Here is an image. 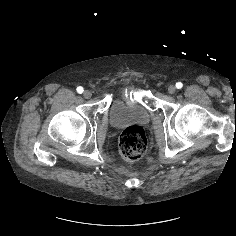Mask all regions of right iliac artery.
Returning a JSON list of instances; mask_svg holds the SVG:
<instances>
[{"label": "right iliac artery", "mask_w": 236, "mask_h": 236, "mask_svg": "<svg viewBox=\"0 0 236 236\" xmlns=\"http://www.w3.org/2000/svg\"><path fill=\"white\" fill-rule=\"evenodd\" d=\"M83 91H84L83 87H81V86L77 87V92H78L79 94H82Z\"/></svg>", "instance_id": "obj_1"}]
</instances>
